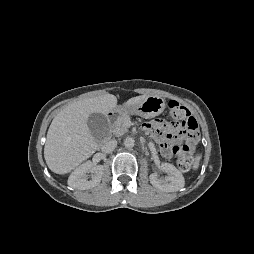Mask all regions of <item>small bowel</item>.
Listing matches in <instances>:
<instances>
[{
    "label": "small bowel",
    "mask_w": 254,
    "mask_h": 254,
    "mask_svg": "<svg viewBox=\"0 0 254 254\" xmlns=\"http://www.w3.org/2000/svg\"><path fill=\"white\" fill-rule=\"evenodd\" d=\"M145 129L150 132L151 136L160 144L163 157L170 158L172 155L169 141L174 140V134L179 127L170 126L157 120L146 123ZM164 129V130H163Z\"/></svg>",
    "instance_id": "c3829d8e"
}]
</instances>
